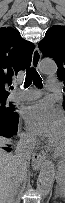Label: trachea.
<instances>
[{"mask_svg": "<svg viewBox=\"0 0 65 203\" xmlns=\"http://www.w3.org/2000/svg\"><path fill=\"white\" fill-rule=\"evenodd\" d=\"M34 83V85H36V87L41 88L43 86L42 84V79L40 77V75L38 74V72L36 71L35 68H28L26 70V78H25V85L24 87H29L31 85V83Z\"/></svg>", "mask_w": 65, "mask_h": 203, "instance_id": "1", "label": "trachea"}]
</instances>
